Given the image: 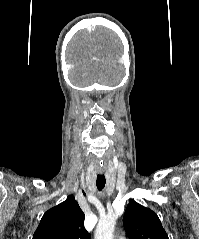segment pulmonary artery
Returning <instances> with one entry per match:
<instances>
[{"mask_svg": "<svg viewBox=\"0 0 199 239\" xmlns=\"http://www.w3.org/2000/svg\"><path fill=\"white\" fill-rule=\"evenodd\" d=\"M117 239H125L123 236H118Z\"/></svg>", "mask_w": 199, "mask_h": 239, "instance_id": "1", "label": "pulmonary artery"}]
</instances>
